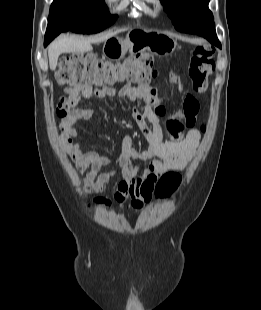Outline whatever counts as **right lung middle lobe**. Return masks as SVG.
Returning <instances> with one entry per match:
<instances>
[{
	"mask_svg": "<svg viewBox=\"0 0 261 310\" xmlns=\"http://www.w3.org/2000/svg\"><path fill=\"white\" fill-rule=\"evenodd\" d=\"M117 19L111 15L104 0H54L50 7L46 33L71 30L97 33Z\"/></svg>",
	"mask_w": 261,
	"mask_h": 310,
	"instance_id": "1",
	"label": "right lung middle lobe"
}]
</instances>
